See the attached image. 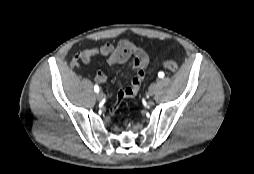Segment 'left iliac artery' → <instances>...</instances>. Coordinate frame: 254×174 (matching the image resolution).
Masks as SVG:
<instances>
[{
  "label": "left iliac artery",
  "mask_w": 254,
  "mask_h": 174,
  "mask_svg": "<svg viewBox=\"0 0 254 174\" xmlns=\"http://www.w3.org/2000/svg\"><path fill=\"white\" fill-rule=\"evenodd\" d=\"M158 76H159V78H163L164 77V73L163 72H159Z\"/></svg>",
  "instance_id": "obj_1"
}]
</instances>
